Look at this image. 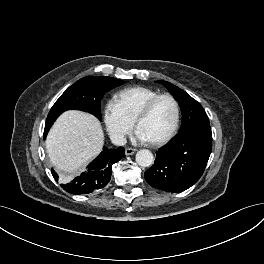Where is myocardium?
<instances>
[{
	"instance_id": "obj_1",
	"label": "myocardium",
	"mask_w": 264,
	"mask_h": 264,
	"mask_svg": "<svg viewBox=\"0 0 264 264\" xmlns=\"http://www.w3.org/2000/svg\"><path fill=\"white\" fill-rule=\"evenodd\" d=\"M162 98H169L173 102L174 107H175V118H174V122H173L171 129L169 130V132L165 136H163L162 138H160L158 140L149 141L154 146H160V145H163V144L169 142L174 137V135L176 134V132L178 130L179 122H180V106H179L177 99L169 93L158 94V95L154 96L153 98H151L142 107V109L137 114V116L134 120L135 126H136V128H138V125L140 124V122L142 120H144L151 113L155 104Z\"/></svg>"
}]
</instances>
